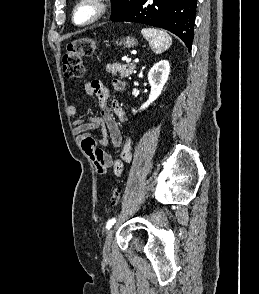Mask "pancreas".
<instances>
[{
    "instance_id": "obj_1",
    "label": "pancreas",
    "mask_w": 259,
    "mask_h": 294,
    "mask_svg": "<svg viewBox=\"0 0 259 294\" xmlns=\"http://www.w3.org/2000/svg\"><path fill=\"white\" fill-rule=\"evenodd\" d=\"M134 69L135 64L124 65L120 63H113L106 66V70L108 72L115 76L120 75L122 79L129 77L133 73Z\"/></svg>"
}]
</instances>
